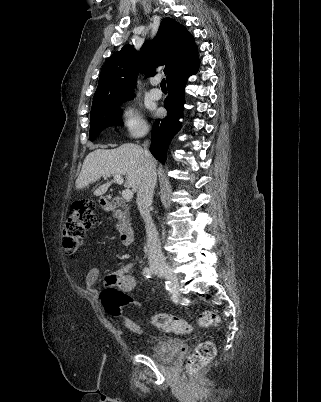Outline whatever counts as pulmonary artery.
<instances>
[{
    "label": "pulmonary artery",
    "mask_w": 321,
    "mask_h": 402,
    "mask_svg": "<svg viewBox=\"0 0 321 402\" xmlns=\"http://www.w3.org/2000/svg\"><path fill=\"white\" fill-rule=\"evenodd\" d=\"M158 84V79H154L151 81V89L148 92V95L153 100H159L162 96L161 91L156 87Z\"/></svg>",
    "instance_id": "obj_1"
}]
</instances>
